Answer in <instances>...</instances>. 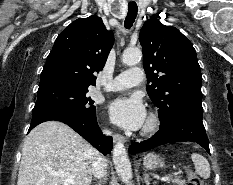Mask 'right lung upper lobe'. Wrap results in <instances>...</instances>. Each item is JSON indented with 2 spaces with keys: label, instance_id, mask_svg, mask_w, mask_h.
<instances>
[{
  "label": "right lung upper lobe",
  "instance_id": "obj_1",
  "mask_svg": "<svg viewBox=\"0 0 233 185\" xmlns=\"http://www.w3.org/2000/svg\"><path fill=\"white\" fill-rule=\"evenodd\" d=\"M114 43L97 15L72 22L57 37L41 73L39 89H88L96 84L93 72L105 65Z\"/></svg>",
  "mask_w": 233,
  "mask_h": 185
}]
</instances>
